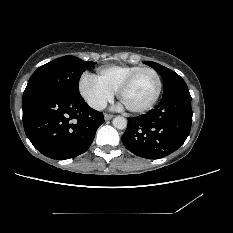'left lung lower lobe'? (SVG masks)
<instances>
[{"label": "left lung lower lobe", "mask_w": 233, "mask_h": 233, "mask_svg": "<svg viewBox=\"0 0 233 233\" xmlns=\"http://www.w3.org/2000/svg\"><path fill=\"white\" fill-rule=\"evenodd\" d=\"M191 124V95L183 88L162 98L147 114L128 118L122 142L137 156L162 158L182 146Z\"/></svg>", "instance_id": "left-lung-lower-lobe-1"}]
</instances>
